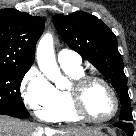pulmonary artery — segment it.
<instances>
[{
    "label": "pulmonary artery",
    "mask_w": 136,
    "mask_h": 136,
    "mask_svg": "<svg viewBox=\"0 0 136 136\" xmlns=\"http://www.w3.org/2000/svg\"><path fill=\"white\" fill-rule=\"evenodd\" d=\"M58 61L61 66L80 68L81 67V57L75 51L69 49H62L58 53Z\"/></svg>",
    "instance_id": "e3ab8cb5"
}]
</instances>
